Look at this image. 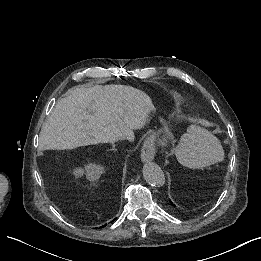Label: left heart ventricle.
Wrapping results in <instances>:
<instances>
[{
    "instance_id": "obj_1",
    "label": "left heart ventricle",
    "mask_w": 261,
    "mask_h": 261,
    "mask_svg": "<svg viewBox=\"0 0 261 261\" xmlns=\"http://www.w3.org/2000/svg\"><path fill=\"white\" fill-rule=\"evenodd\" d=\"M163 139V136H160L159 138H158V140H162Z\"/></svg>"
}]
</instances>
